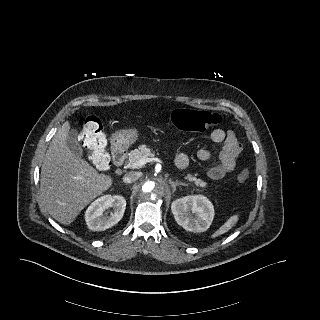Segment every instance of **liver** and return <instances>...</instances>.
Here are the masks:
<instances>
[{"instance_id": "1", "label": "liver", "mask_w": 320, "mask_h": 320, "mask_svg": "<svg viewBox=\"0 0 320 320\" xmlns=\"http://www.w3.org/2000/svg\"><path fill=\"white\" fill-rule=\"evenodd\" d=\"M70 130L65 122L54 135L45 154L40 192L49 214L63 225L71 224L94 198L112 185V179L99 174L67 146Z\"/></svg>"}]
</instances>
